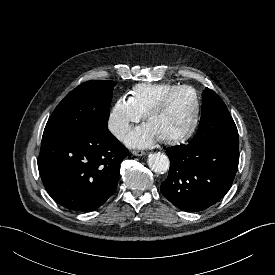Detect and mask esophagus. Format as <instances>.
<instances>
[{
  "instance_id": "obj_1",
  "label": "esophagus",
  "mask_w": 275,
  "mask_h": 275,
  "mask_svg": "<svg viewBox=\"0 0 275 275\" xmlns=\"http://www.w3.org/2000/svg\"><path fill=\"white\" fill-rule=\"evenodd\" d=\"M132 154L135 155V156H143L146 153L144 151H141V150H133Z\"/></svg>"
}]
</instances>
